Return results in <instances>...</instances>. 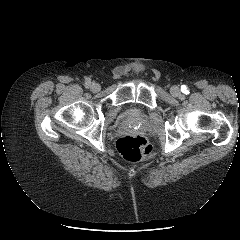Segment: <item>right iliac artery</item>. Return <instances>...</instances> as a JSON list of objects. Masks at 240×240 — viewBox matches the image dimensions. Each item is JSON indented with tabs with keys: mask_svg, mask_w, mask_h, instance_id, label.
<instances>
[{
	"mask_svg": "<svg viewBox=\"0 0 240 240\" xmlns=\"http://www.w3.org/2000/svg\"><path fill=\"white\" fill-rule=\"evenodd\" d=\"M85 85H86V87H88L90 85V80H87Z\"/></svg>",
	"mask_w": 240,
	"mask_h": 240,
	"instance_id": "82829eb1",
	"label": "right iliac artery"
}]
</instances>
